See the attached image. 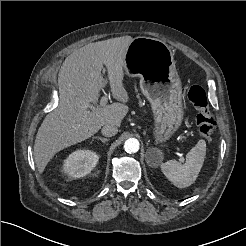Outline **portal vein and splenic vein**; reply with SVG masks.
Instances as JSON below:
<instances>
[{
    "label": "portal vein and splenic vein",
    "mask_w": 246,
    "mask_h": 246,
    "mask_svg": "<svg viewBox=\"0 0 246 246\" xmlns=\"http://www.w3.org/2000/svg\"><path fill=\"white\" fill-rule=\"evenodd\" d=\"M107 102H108L107 95L101 97V99H100V107H104L107 104ZM87 107L90 108V109H95V107L93 105H88ZM180 161L184 162V158L182 157L181 154H180Z\"/></svg>",
    "instance_id": "18ae733b"
}]
</instances>
